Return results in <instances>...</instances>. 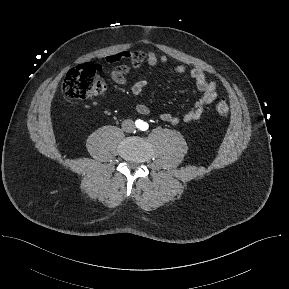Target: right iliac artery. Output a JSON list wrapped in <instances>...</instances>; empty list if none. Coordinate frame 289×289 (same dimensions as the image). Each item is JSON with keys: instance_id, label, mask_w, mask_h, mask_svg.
<instances>
[{"instance_id": "right-iliac-artery-1", "label": "right iliac artery", "mask_w": 289, "mask_h": 289, "mask_svg": "<svg viewBox=\"0 0 289 289\" xmlns=\"http://www.w3.org/2000/svg\"><path fill=\"white\" fill-rule=\"evenodd\" d=\"M141 124H142V121H141V120H137V121H136V125H137V126H140Z\"/></svg>"}]
</instances>
